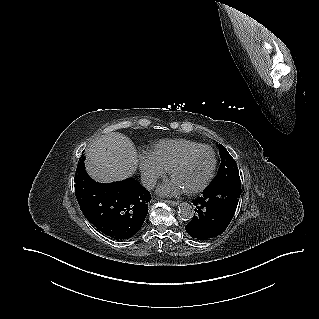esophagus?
Segmentation results:
<instances>
[{"mask_svg":"<svg viewBox=\"0 0 319 319\" xmlns=\"http://www.w3.org/2000/svg\"><path fill=\"white\" fill-rule=\"evenodd\" d=\"M165 202L172 206H177L179 204L178 201H174V200H165Z\"/></svg>","mask_w":319,"mask_h":319,"instance_id":"34e87169","label":"esophagus"}]
</instances>
